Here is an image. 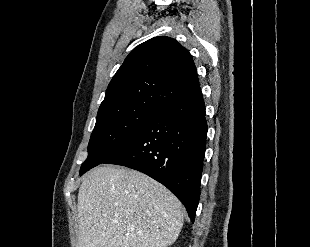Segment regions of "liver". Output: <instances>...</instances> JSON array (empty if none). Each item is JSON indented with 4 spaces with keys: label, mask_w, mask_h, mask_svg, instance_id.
<instances>
[{
    "label": "liver",
    "mask_w": 310,
    "mask_h": 247,
    "mask_svg": "<svg viewBox=\"0 0 310 247\" xmlns=\"http://www.w3.org/2000/svg\"><path fill=\"white\" fill-rule=\"evenodd\" d=\"M78 247H167L183 226L181 202L128 168L99 166L78 192Z\"/></svg>",
    "instance_id": "liver-1"
}]
</instances>
